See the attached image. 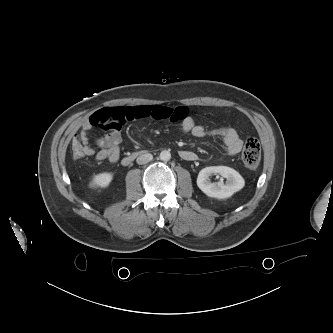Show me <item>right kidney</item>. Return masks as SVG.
I'll return each mask as SVG.
<instances>
[{"instance_id": "right-kidney-1", "label": "right kidney", "mask_w": 333, "mask_h": 333, "mask_svg": "<svg viewBox=\"0 0 333 333\" xmlns=\"http://www.w3.org/2000/svg\"><path fill=\"white\" fill-rule=\"evenodd\" d=\"M113 179V175L111 173L105 172L95 175L93 180L90 183L91 187L99 186V187H107Z\"/></svg>"}]
</instances>
